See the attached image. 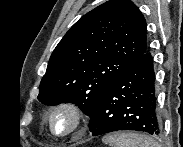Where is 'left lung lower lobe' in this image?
Instances as JSON below:
<instances>
[{
	"label": "left lung lower lobe",
	"mask_w": 183,
	"mask_h": 147,
	"mask_svg": "<svg viewBox=\"0 0 183 147\" xmlns=\"http://www.w3.org/2000/svg\"><path fill=\"white\" fill-rule=\"evenodd\" d=\"M154 82L153 60L146 51L112 82L100 98L89 122L93 136L118 130L158 135L161 123L156 112Z\"/></svg>",
	"instance_id": "left-lung-lower-lobe-1"
}]
</instances>
